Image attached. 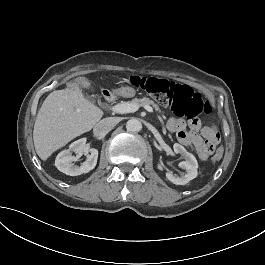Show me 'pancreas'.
Instances as JSON below:
<instances>
[{
	"instance_id": "pancreas-1",
	"label": "pancreas",
	"mask_w": 265,
	"mask_h": 265,
	"mask_svg": "<svg viewBox=\"0 0 265 265\" xmlns=\"http://www.w3.org/2000/svg\"><path fill=\"white\" fill-rule=\"evenodd\" d=\"M131 103L136 104L139 107L152 106L156 111L160 112L159 106L153 100L146 97L142 99L134 98Z\"/></svg>"
}]
</instances>
